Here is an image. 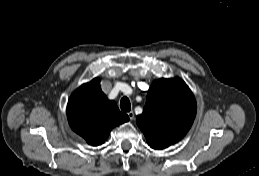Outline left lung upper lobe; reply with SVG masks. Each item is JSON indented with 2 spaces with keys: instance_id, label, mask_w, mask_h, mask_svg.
I'll return each instance as SVG.
<instances>
[{
  "instance_id": "5c2ea615",
  "label": "left lung upper lobe",
  "mask_w": 259,
  "mask_h": 176,
  "mask_svg": "<svg viewBox=\"0 0 259 176\" xmlns=\"http://www.w3.org/2000/svg\"><path fill=\"white\" fill-rule=\"evenodd\" d=\"M193 93L180 78L154 81L137 125L151 148L164 149L182 139L196 115Z\"/></svg>"
}]
</instances>
